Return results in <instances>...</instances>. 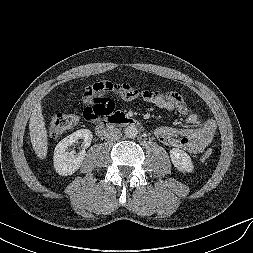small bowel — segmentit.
Returning <instances> with one entry per match:
<instances>
[{
	"instance_id": "obj_1",
	"label": "small bowel",
	"mask_w": 253,
	"mask_h": 253,
	"mask_svg": "<svg viewBox=\"0 0 253 253\" xmlns=\"http://www.w3.org/2000/svg\"><path fill=\"white\" fill-rule=\"evenodd\" d=\"M105 93H111L125 101L134 100L138 96V92L126 83H116L110 80L99 81L87 86L83 92V101L87 105L84 112L96 104H103L110 109V113H113L114 101L106 97ZM143 99L158 108L184 115L185 123L192 127L177 129L160 126L156 128L154 135L162 144L184 149L191 154H200L213 139L216 133L215 122L193 111L178 92L149 90L144 92Z\"/></svg>"
}]
</instances>
